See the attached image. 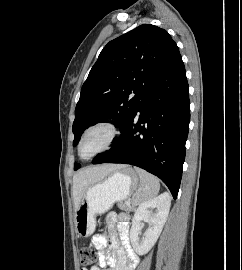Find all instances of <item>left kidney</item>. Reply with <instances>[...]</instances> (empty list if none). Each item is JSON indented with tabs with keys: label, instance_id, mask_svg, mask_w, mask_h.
<instances>
[{
	"label": "left kidney",
	"instance_id": "1",
	"mask_svg": "<svg viewBox=\"0 0 242 270\" xmlns=\"http://www.w3.org/2000/svg\"><path fill=\"white\" fill-rule=\"evenodd\" d=\"M170 205L171 197L166 192L139 205L130 230L131 244L137 254L144 255L154 246L167 220ZM155 208L156 211L152 212ZM143 221L149 224V228L140 239Z\"/></svg>",
	"mask_w": 242,
	"mask_h": 270
}]
</instances>
